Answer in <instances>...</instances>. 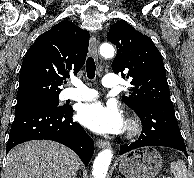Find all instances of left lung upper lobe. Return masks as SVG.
Returning <instances> with one entry per match:
<instances>
[{
    "label": "left lung upper lobe",
    "instance_id": "5c2ea615",
    "mask_svg": "<svg viewBox=\"0 0 194 178\" xmlns=\"http://www.w3.org/2000/svg\"><path fill=\"white\" fill-rule=\"evenodd\" d=\"M107 40L117 47L113 71L132 79L133 87L123 96L131 109L136 112L140 104L171 101L161 53L148 36L119 21L110 27Z\"/></svg>",
    "mask_w": 194,
    "mask_h": 178
}]
</instances>
